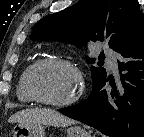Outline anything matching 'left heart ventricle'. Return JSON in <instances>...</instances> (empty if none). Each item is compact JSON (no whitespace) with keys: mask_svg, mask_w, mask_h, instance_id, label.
<instances>
[{"mask_svg":"<svg viewBox=\"0 0 144 137\" xmlns=\"http://www.w3.org/2000/svg\"><path fill=\"white\" fill-rule=\"evenodd\" d=\"M34 86L45 99L64 101L77 92L79 81L69 68L53 65L43 67L36 73Z\"/></svg>","mask_w":144,"mask_h":137,"instance_id":"obj_1","label":"left heart ventricle"}]
</instances>
